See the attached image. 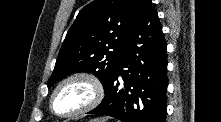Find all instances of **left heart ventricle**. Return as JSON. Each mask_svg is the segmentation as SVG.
Listing matches in <instances>:
<instances>
[{"instance_id":"b2bd125f","label":"left heart ventricle","mask_w":221,"mask_h":122,"mask_svg":"<svg viewBox=\"0 0 221 122\" xmlns=\"http://www.w3.org/2000/svg\"><path fill=\"white\" fill-rule=\"evenodd\" d=\"M91 98V88L81 81L63 86L54 98V108L59 113H71L85 106Z\"/></svg>"}]
</instances>
